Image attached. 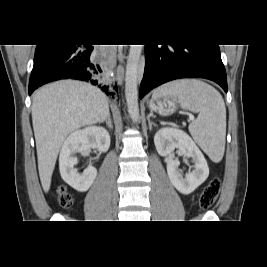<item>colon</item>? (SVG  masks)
<instances>
[{"instance_id":"5ec220e1","label":"colon","mask_w":267,"mask_h":267,"mask_svg":"<svg viewBox=\"0 0 267 267\" xmlns=\"http://www.w3.org/2000/svg\"><path fill=\"white\" fill-rule=\"evenodd\" d=\"M221 183L219 178H213L204 188L199 197V206L202 210H208L216 202L220 193ZM58 204L63 208H70L73 197L64 187L60 188L57 196Z\"/></svg>"}]
</instances>
